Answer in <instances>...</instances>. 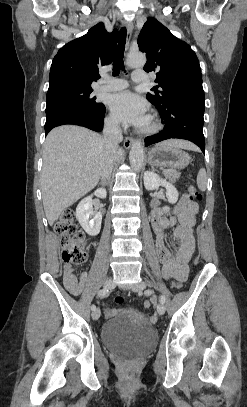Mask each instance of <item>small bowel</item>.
I'll use <instances>...</instances> for the list:
<instances>
[{
    "label": "small bowel",
    "instance_id": "obj_1",
    "mask_svg": "<svg viewBox=\"0 0 247 407\" xmlns=\"http://www.w3.org/2000/svg\"><path fill=\"white\" fill-rule=\"evenodd\" d=\"M198 205L191 201L188 196H183L173 207L170 214L166 215L163 210L156 208L151 213V224L156 234V249L162 263L163 276L167 279L175 278L184 281L188 277V264L195 250L193 227L196 222ZM175 227L174 238L176 246L170 252L166 246V231ZM63 279L66 288L74 295L80 294L88 279L87 271L80 274L77 281L71 264H65Z\"/></svg>",
    "mask_w": 247,
    "mask_h": 407
}]
</instances>
